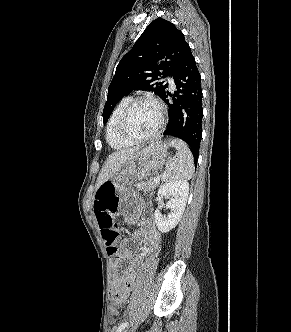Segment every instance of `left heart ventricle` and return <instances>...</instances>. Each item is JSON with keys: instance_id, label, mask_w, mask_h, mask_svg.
<instances>
[{"instance_id": "1", "label": "left heart ventricle", "mask_w": 291, "mask_h": 332, "mask_svg": "<svg viewBox=\"0 0 291 332\" xmlns=\"http://www.w3.org/2000/svg\"><path fill=\"white\" fill-rule=\"evenodd\" d=\"M159 125V112L150 102L137 103L126 120V131L134 137L152 134Z\"/></svg>"}]
</instances>
